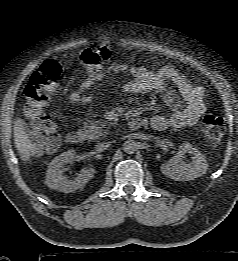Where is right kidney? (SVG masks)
Segmentation results:
<instances>
[{
  "label": "right kidney",
  "instance_id": "1",
  "mask_svg": "<svg viewBox=\"0 0 238 261\" xmlns=\"http://www.w3.org/2000/svg\"><path fill=\"white\" fill-rule=\"evenodd\" d=\"M75 155L74 150H68L52 160L45 179V183L49 188L70 193L85 186L93 178L95 169L92 167L82 169L74 180H68L63 175L65 171L64 165L71 163L75 159Z\"/></svg>",
  "mask_w": 238,
  "mask_h": 261
}]
</instances>
